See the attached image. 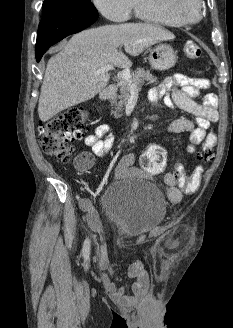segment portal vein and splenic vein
<instances>
[{
	"mask_svg": "<svg viewBox=\"0 0 233 328\" xmlns=\"http://www.w3.org/2000/svg\"><path fill=\"white\" fill-rule=\"evenodd\" d=\"M114 67L111 65H107L104 67H101L99 69H97V71L95 72L96 74H101L104 73L106 71H110L113 70ZM120 76L123 80H126L130 83V90H136V86L134 84L131 83V75H130V71L128 69H125L123 71L120 72Z\"/></svg>",
	"mask_w": 233,
	"mask_h": 328,
	"instance_id": "18ae733b",
	"label": "portal vein and splenic vein"
}]
</instances>
